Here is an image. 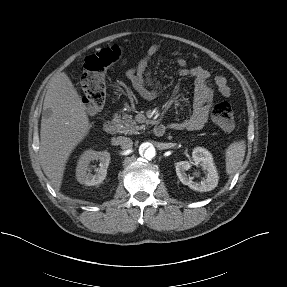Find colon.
<instances>
[{
  "instance_id": "1",
  "label": "colon",
  "mask_w": 287,
  "mask_h": 287,
  "mask_svg": "<svg viewBox=\"0 0 287 287\" xmlns=\"http://www.w3.org/2000/svg\"><path fill=\"white\" fill-rule=\"evenodd\" d=\"M121 56V49L118 46H111L85 59L81 79L82 101L90 113H96L103 108L106 100L105 73ZM211 115L212 120L223 130L233 129L234 114L228 102L216 103L212 107Z\"/></svg>"
}]
</instances>
